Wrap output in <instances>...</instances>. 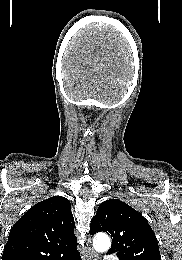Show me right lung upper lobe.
Segmentation results:
<instances>
[{"mask_svg": "<svg viewBox=\"0 0 182 260\" xmlns=\"http://www.w3.org/2000/svg\"><path fill=\"white\" fill-rule=\"evenodd\" d=\"M74 225L66 198L41 201L11 228L2 260H60L78 252Z\"/></svg>", "mask_w": 182, "mask_h": 260, "instance_id": "obj_1", "label": "right lung upper lobe"}]
</instances>
